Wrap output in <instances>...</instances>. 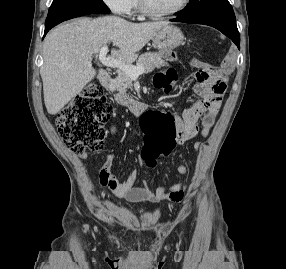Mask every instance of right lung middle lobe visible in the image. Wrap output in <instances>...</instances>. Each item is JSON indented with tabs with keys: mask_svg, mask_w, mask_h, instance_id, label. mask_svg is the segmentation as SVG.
I'll use <instances>...</instances> for the list:
<instances>
[{
	"mask_svg": "<svg viewBox=\"0 0 286 269\" xmlns=\"http://www.w3.org/2000/svg\"><path fill=\"white\" fill-rule=\"evenodd\" d=\"M109 12L102 0H53L45 21V28L54 27L65 20L82 15Z\"/></svg>",
	"mask_w": 286,
	"mask_h": 269,
	"instance_id": "obj_1",
	"label": "right lung middle lobe"
}]
</instances>
